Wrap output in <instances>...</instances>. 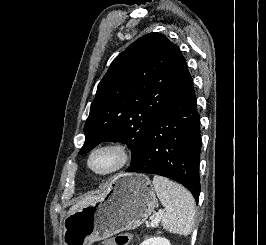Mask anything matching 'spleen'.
Returning <instances> with one entry per match:
<instances>
[{
	"label": "spleen",
	"instance_id": "obj_1",
	"mask_svg": "<svg viewBox=\"0 0 266 245\" xmlns=\"http://www.w3.org/2000/svg\"><path fill=\"white\" fill-rule=\"evenodd\" d=\"M153 187L161 205L165 207L162 217L163 229L184 237L190 235L196 215L195 201L191 193L182 185L158 175L153 177Z\"/></svg>",
	"mask_w": 266,
	"mask_h": 245
}]
</instances>
